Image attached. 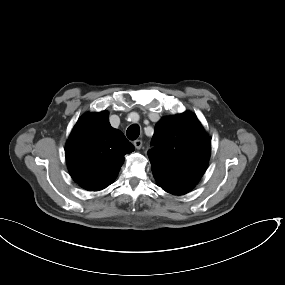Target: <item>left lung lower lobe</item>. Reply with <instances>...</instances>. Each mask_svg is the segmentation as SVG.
Segmentation results:
<instances>
[{
	"label": "left lung lower lobe",
	"instance_id": "1",
	"mask_svg": "<svg viewBox=\"0 0 285 285\" xmlns=\"http://www.w3.org/2000/svg\"><path fill=\"white\" fill-rule=\"evenodd\" d=\"M155 179L158 182V185L168 193L174 195H183L188 193L195 185L191 183H186L182 181H176L170 178H167L160 173L153 172Z\"/></svg>",
	"mask_w": 285,
	"mask_h": 285
}]
</instances>
